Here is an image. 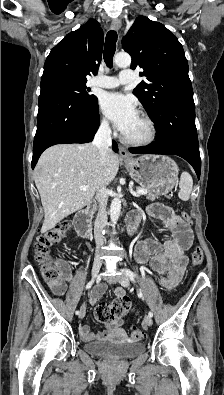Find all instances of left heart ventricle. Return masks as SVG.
<instances>
[{"instance_id": "b2bd125f", "label": "left heart ventricle", "mask_w": 224, "mask_h": 395, "mask_svg": "<svg viewBox=\"0 0 224 395\" xmlns=\"http://www.w3.org/2000/svg\"><path fill=\"white\" fill-rule=\"evenodd\" d=\"M145 133H146L145 124L138 116L135 119V121L131 124L129 129L124 133V135L131 138H139L145 135Z\"/></svg>"}]
</instances>
